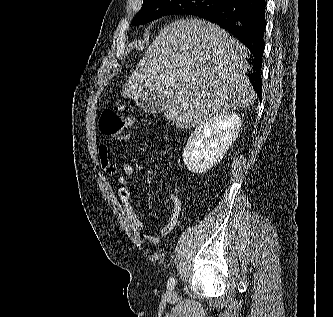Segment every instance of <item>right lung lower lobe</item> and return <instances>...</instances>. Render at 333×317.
Returning a JSON list of instances; mask_svg holds the SVG:
<instances>
[{"instance_id": "right-lung-lower-lobe-1", "label": "right lung lower lobe", "mask_w": 333, "mask_h": 317, "mask_svg": "<svg viewBox=\"0 0 333 317\" xmlns=\"http://www.w3.org/2000/svg\"><path fill=\"white\" fill-rule=\"evenodd\" d=\"M265 11V0H229L218 8L196 15L229 31L250 50L253 59L249 63L254 70L251 80L259 99L262 94L260 71L264 52Z\"/></svg>"}]
</instances>
